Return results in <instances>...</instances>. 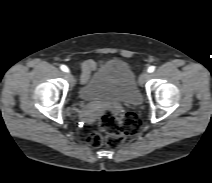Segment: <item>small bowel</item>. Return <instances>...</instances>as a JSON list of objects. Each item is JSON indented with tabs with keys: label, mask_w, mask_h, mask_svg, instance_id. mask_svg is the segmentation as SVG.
<instances>
[{
	"label": "small bowel",
	"mask_w": 212,
	"mask_h": 183,
	"mask_svg": "<svg viewBox=\"0 0 212 183\" xmlns=\"http://www.w3.org/2000/svg\"><path fill=\"white\" fill-rule=\"evenodd\" d=\"M99 62L94 60H86L81 63V82L86 83L91 73L99 66Z\"/></svg>",
	"instance_id": "1"
}]
</instances>
